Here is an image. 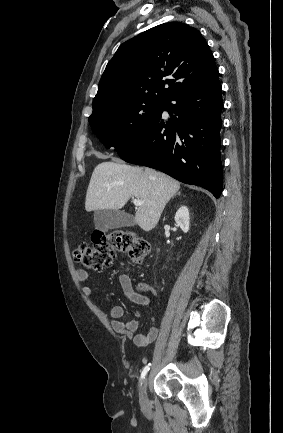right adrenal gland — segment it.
Segmentation results:
<instances>
[{
	"mask_svg": "<svg viewBox=\"0 0 283 433\" xmlns=\"http://www.w3.org/2000/svg\"><path fill=\"white\" fill-rule=\"evenodd\" d=\"M176 194H181V190H178V192H176ZM175 194H173L172 198H174Z\"/></svg>",
	"mask_w": 283,
	"mask_h": 433,
	"instance_id": "2a0ac1e0",
	"label": "right adrenal gland"
}]
</instances>
